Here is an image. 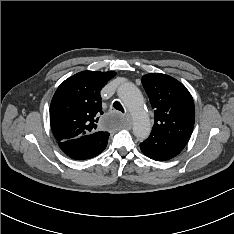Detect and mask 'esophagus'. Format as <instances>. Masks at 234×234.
I'll use <instances>...</instances> for the list:
<instances>
[{
	"instance_id": "obj_1",
	"label": "esophagus",
	"mask_w": 234,
	"mask_h": 234,
	"mask_svg": "<svg viewBox=\"0 0 234 234\" xmlns=\"http://www.w3.org/2000/svg\"><path fill=\"white\" fill-rule=\"evenodd\" d=\"M126 120H127V123L128 124H131V120H130V117L129 116H125Z\"/></svg>"
}]
</instances>
